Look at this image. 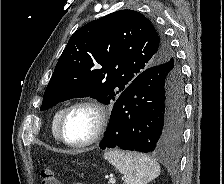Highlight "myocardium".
I'll list each match as a JSON object with an SVG mask.
<instances>
[{
    "label": "myocardium",
    "instance_id": "1",
    "mask_svg": "<svg viewBox=\"0 0 224 184\" xmlns=\"http://www.w3.org/2000/svg\"><path fill=\"white\" fill-rule=\"evenodd\" d=\"M80 107H88L93 109L97 114L98 121H97L93 135L88 140L80 142V143H73L68 141L64 135V124L70 112ZM109 119H110V111L107 108V106L103 104L102 102L95 99H88V98L77 100L71 103L69 106H67L63 110V113L60 116V119L58 122L59 140L65 145H67L68 147H71L74 149H83V148L92 146L96 144L97 142H99L105 135L108 124H109Z\"/></svg>",
    "mask_w": 224,
    "mask_h": 184
}]
</instances>
